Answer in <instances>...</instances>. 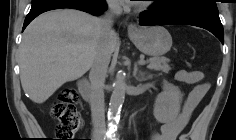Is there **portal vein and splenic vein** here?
I'll list each match as a JSON object with an SVG mask.
<instances>
[{"instance_id": "obj_1", "label": "portal vein and splenic vein", "mask_w": 236, "mask_h": 140, "mask_svg": "<svg viewBox=\"0 0 236 140\" xmlns=\"http://www.w3.org/2000/svg\"><path fill=\"white\" fill-rule=\"evenodd\" d=\"M138 64H140V65H144V64H145V60H144V59H140V60H138Z\"/></svg>"}]
</instances>
